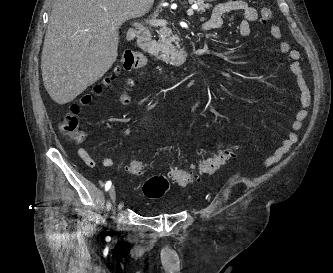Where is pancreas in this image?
<instances>
[{"label": "pancreas", "instance_id": "cf45deb5", "mask_svg": "<svg viewBox=\"0 0 333 273\" xmlns=\"http://www.w3.org/2000/svg\"><path fill=\"white\" fill-rule=\"evenodd\" d=\"M189 2L197 4V12L201 13L210 7L209 4L204 3V0H189ZM179 41V37L171 29L162 28L156 45V49L160 53L158 58L173 66L182 65L185 62L186 54L178 50L180 48Z\"/></svg>", "mask_w": 333, "mask_h": 273}]
</instances>
